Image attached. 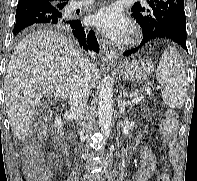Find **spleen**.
<instances>
[{"instance_id":"1","label":"spleen","mask_w":197,"mask_h":181,"mask_svg":"<svg viewBox=\"0 0 197 181\" xmlns=\"http://www.w3.org/2000/svg\"><path fill=\"white\" fill-rule=\"evenodd\" d=\"M164 103L170 108H181L186 100L187 83L181 56L173 47H168L156 70Z\"/></svg>"}]
</instances>
